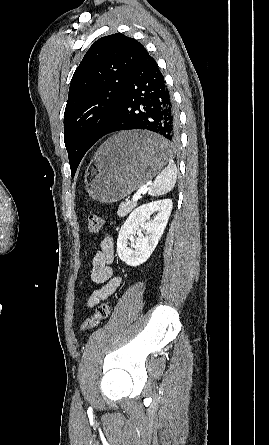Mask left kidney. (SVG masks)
<instances>
[{
  "label": "left kidney",
  "instance_id": "1",
  "mask_svg": "<svg viewBox=\"0 0 269 445\" xmlns=\"http://www.w3.org/2000/svg\"><path fill=\"white\" fill-rule=\"evenodd\" d=\"M172 206L170 199L158 200L139 206L129 215L117 239V253L123 262L136 267L147 261L166 228ZM153 213L157 214L151 219ZM139 226L146 230L145 235L138 232ZM133 234L137 236L130 247L128 239Z\"/></svg>",
  "mask_w": 269,
  "mask_h": 445
}]
</instances>
